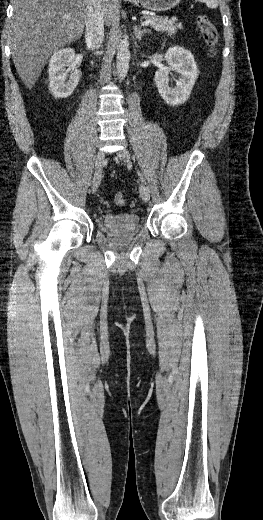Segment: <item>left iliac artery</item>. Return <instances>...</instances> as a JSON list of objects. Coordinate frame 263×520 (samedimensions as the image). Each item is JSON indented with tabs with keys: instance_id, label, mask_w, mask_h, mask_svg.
Masks as SVG:
<instances>
[{
	"instance_id": "44dca946",
	"label": "left iliac artery",
	"mask_w": 263,
	"mask_h": 520,
	"mask_svg": "<svg viewBox=\"0 0 263 520\" xmlns=\"http://www.w3.org/2000/svg\"><path fill=\"white\" fill-rule=\"evenodd\" d=\"M138 174H139L141 180H142V181H145L144 178H143V175H142L140 172H138Z\"/></svg>"
}]
</instances>
